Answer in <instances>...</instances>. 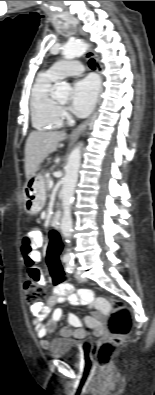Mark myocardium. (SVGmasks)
Wrapping results in <instances>:
<instances>
[{
	"label": "myocardium",
	"instance_id": "obj_1",
	"mask_svg": "<svg viewBox=\"0 0 155 395\" xmlns=\"http://www.w3.org/2000/svg\"><path fill=\"white\" fill-rule=\"evenodd\" d=\"M56 103H57L58 107H60V106H61V104H60V103H58L57 101H56Z\"/></svg>",
	"mask_w": 155,
	"mask_h": 395
}]
</instances>
